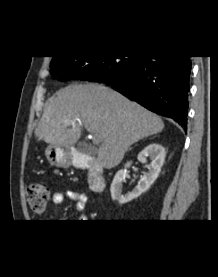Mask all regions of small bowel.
<instances>
[{
    "mask_svg": "<svg viewBox=\"0 0 218 277\" xmlns=\"http://www.w3.org/2000/svg\"><path fill=\"white\" fill-rule=\"evenodd\" d=\"M65 199L75 202V210L78 214L79 220L82 222L86 220L85 210L87 207L88 197L84 192L76 190H66L64 192H56L52 195V202L55 205L62 204Z\"/></svg>",
    "mask_w": 218,
    "mask_h": 277,
    "instance_id": "obj_1",
    "label": "small bowel"
}]
</instances>
